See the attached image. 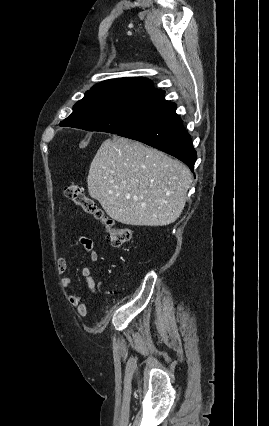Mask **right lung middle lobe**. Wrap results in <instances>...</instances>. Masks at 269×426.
<instances>
[{
	"label": "right lung middle lobe",
	"mask_w": 269,
	"mask_h": 426,
	"mask_svg": "<svg viewBox=\"0 0 269 426\" xmlns=\"http://www.w3.org/2000/svg\"><path fill=\"white\" fill-rule=\"evenodd\" d=\"M163 95V92L86 94L75 104L73 113L60 125L117 134L145 118Z\"/></svg>",
	"instance_id": "right-lung-middle-lobe-1"
}]
</instances>
